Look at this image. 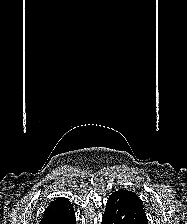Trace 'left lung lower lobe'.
<instances>
[{"label": "left lung lower lobe", "instance_id": "1", "mask_svg": "<svg viewBox=\"0 0 187 224\" xmlns=\"http://www.w3.org/2000/svg\"><path fill=\"white\" fill-rule=\"evenodd\" d=\"M102 224H148V220L134 198L120 189L108 198Z\"/></svg>", "mask_w": 187, "mask_h": 224}]
</instances>
